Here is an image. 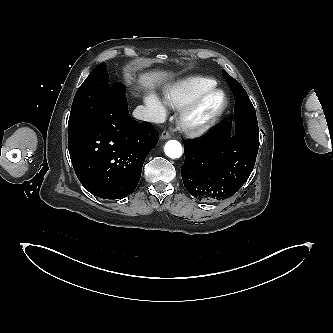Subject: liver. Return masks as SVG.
<instances>
[{"label":"liver","instance_id":"6515ba94","mask_svg":"<svg viewBox=\"0 0 333 333\" xmlns=\"http://www.w3.org/2000/svg\"><path fill=\"white\" fill-rule=\"evenodd\" d=\"M170 74L164 71H151L149 73L142 74L139 77V83L144 89H153L156 84H160L165 81Z\"/></svg>","mask_w":333,"mask_h":333}]
</instances>
